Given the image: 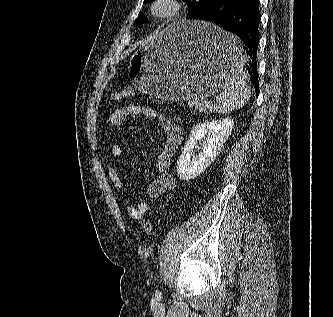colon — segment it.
Wrapping results in <instances>:
<instances>
[{"mask_svg":"<svg viewBox=\"0 0 333 317\" xmlns=\"http://www.w3.org/2000/svg\"><path fill=\"white\" fill-rule=\"evenodd\" d=\"M134 94H135L134 90H132L130 88H124V89H121V90H118V91H115L114 93H112L110 96V101L116 102L122 98L132 97V96H134ZM143 230L147 234H152L154 228H153V224L151 223V221L146 220L143 223Z\"/></svg>","mask_w":333,"mask_h":317,"instance_id":"colon-1","label":"colon"}]
</instances>
